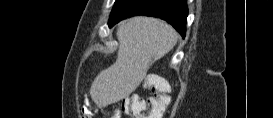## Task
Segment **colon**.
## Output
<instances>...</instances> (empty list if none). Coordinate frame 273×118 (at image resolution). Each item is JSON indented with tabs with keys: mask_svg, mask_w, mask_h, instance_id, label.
I'll list each match as a JSON object with an SVG mask.
<instances>
[{
	"mask_svg": "<svg viewBox=\"0 0 273 118\" xmlns=\"http://www.w3.org/2000/svg\"><path fill=\"white\" fill-rule=\"evenodd\" d=\"M148 84L155 89L152 96L142 97L139 95L126 96L122 99L120 111L135 118H159L171 101L168 95V85L162 81L155 85L152 77L147 78ZM89 113L84 118H89ZM116 118V114H111Z\"/></svg>",
	"mask_w": 273,
	"mask_h": 118,
	"instance_id": "5ec220e1",
	"label": "colon"
}]
</instances>
